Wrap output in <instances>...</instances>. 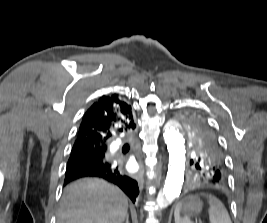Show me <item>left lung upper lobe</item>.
<instances>
[{
	"label": "left lung upper lobe",
	"instance_id": "1",
	"mask_svg": "<svg viewBox=\"0 0 267 223\" xmlns=\"http://www.w3.org/2000/svg\"><path fill=\"white\" fill-rule=\"evenodd\" d=\"M183 128L195 151L190 162L196 171H227L223 153L217 137L205 118L198 113H183Z\"/></svg>",
	"mask_w": 267,
	"mask_h": 223
}]
</instances>
